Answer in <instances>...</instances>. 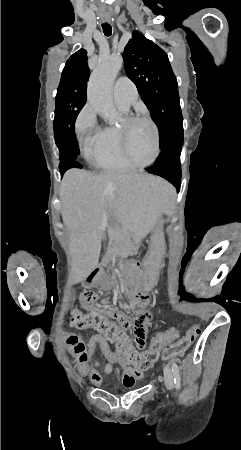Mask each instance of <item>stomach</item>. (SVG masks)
I'll list each match as a JSON object with an SVG mask.
<instances>
[{"label": "stomach", "instance_id": "0dacf381", "mask_svg": "<svg viewBox=\"0 0 241 450\" xmlns=\"http://www.w3.org/2000/svg\"><path fill=\"white\" fill-rule=\"evenodd\" d=\"M165 238L159 227L152 234L147 255L143 260L142 284L145 289H151L158 278L165 254Z\"/></svg>", "mask_w": 241, "mask_h": 450}]
</instances>
